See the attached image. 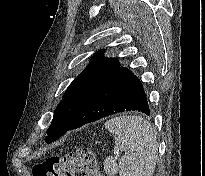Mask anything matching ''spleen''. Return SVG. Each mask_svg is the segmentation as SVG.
I'll return each instance as SVG.
<instances>
[{
    "mask_svg": "<svg viewBox=\"0 0 205 176\" xmlns=\"http://www.w3.org/2000/svg\"><path fill=\"white\" fill-rule=\"evenodd\" d=\"M123 156L119 176H153L157 160V139L151 124L140 116H119L105 123Z\"/></svg>",
    "mask_w": 205,
    "mask_h": 176,
    "instance_id": "obj_1",
    "label": "spleen"
}]
</instances>
